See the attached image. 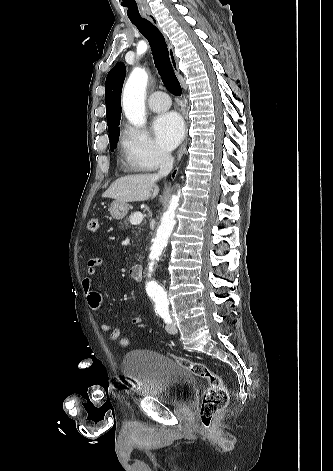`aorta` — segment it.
Listing matches in <instances>:
<instances>
[{
  "label": "aorta",
  "instance_id": "762f6f07",
  "mask_svg": "<svg viewBox=\"0 0 333 471\" xmlns=\"http://www.w3.org/2000/svg\"><path fill=\"white\" fill-rule=\"evenodd\" d=\"M148 82V73L143 68H134L131 72L122 95V107L128 121L141 127L146 123L145 117V94ZM180 192L172 195L168 209L161 217L160 225L151 241L149 259L150 266L159 260L175 225V210L178 206ZM147 292L155 302L156 308L168 307L166 291L155 281L147 283Z\"/></svg>",
  "mask_w": 333,
  "mask_h": 471
}]
</instances>
